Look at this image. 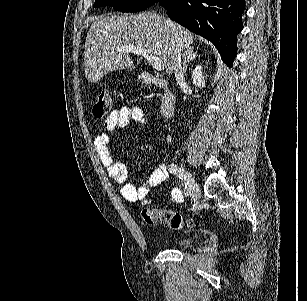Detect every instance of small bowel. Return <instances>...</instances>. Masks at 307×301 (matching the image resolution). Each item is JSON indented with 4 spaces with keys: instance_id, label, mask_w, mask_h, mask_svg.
Returning <instances> with one entry per match:
<instances>
[{
    "instance_id": "small-bowel-1",
    "label": "small bowel",
    "mask_w": 307,
    "mask_h": 301,
    "mask_svg": "<svg viewBox=\"0 0 307 301\" xmlns=\"http://www.w3.org/2000/svg\"><path fill=\"white\" fill-rule=\"evenodd\" d=\"M131 122L146 123L144 112L140 107L133 105L113 110L104 121V129L96 135L94 145L103 166L106 167L108 175L118 186L121 195L130 202L140 201L143 204H148L151 202L149 198L151 190L168 179L169 171L165 163H159L150 176L138 187L126 182V167L113 160L108 133L122 129ZM170 200L175 204L181 203L183 201L181 189L173 188Z\"/></svg>"
}]
</instances>
